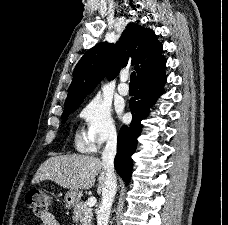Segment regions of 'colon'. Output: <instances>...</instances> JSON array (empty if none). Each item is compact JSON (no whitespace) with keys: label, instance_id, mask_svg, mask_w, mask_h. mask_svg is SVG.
<instances>
[{"label":"colon","instance_id":"5ec220e1","mask_svg":"<svg viewBox=\"0 0 228 225\" xmlns=\"http://www.w3.org/2000/svg\"><path fill=\"white\" fill-rule=\"evenodd\" d=\"M26 203L29 204L34 214L41 218L49 210V195L40 189H30L26 194Z\"/></svg>","mask_w":228,"mask_h":225}]
</instances>
